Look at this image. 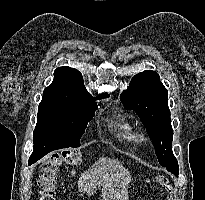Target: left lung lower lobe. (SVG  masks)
Wrapping results in <instances>:
<instances>
[{"label": "left lung lower lobe", "mask_w": 205, "mask_h": 200, "mask_svg": "<svg viewBox=\"0 0 205 200\" xmlns=\"http://www.w3.org/2000/svg\"><path fill=\"white\" fill-rule=\"evenodd\" d=\"M166 169L176 176L179 174L178 164H176L175 167H166Z\"/></svg>", "instance_id": "0a47b994"}]
</instances>
